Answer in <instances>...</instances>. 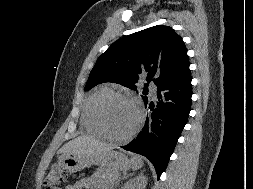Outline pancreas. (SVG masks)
I'll return each mask as SVG.
<instances>
[{"label":"pancreas","mask_w":253,"mask_h":189,"mask_svg":"<svg viewBox=\"0 0 253 189\" xmlns=\"http://www.w3.org/2000/svg\"><path fill=\"white\" fill-rule=\"evenodd\" d=\"M94 175L100 178L102 183L107 186H113L119 178V172L117 170L105 169L103 167L98 168Z\"/></svg>","instance_id":"cf45deb5"}]
</instances>
